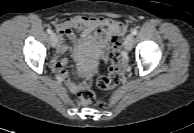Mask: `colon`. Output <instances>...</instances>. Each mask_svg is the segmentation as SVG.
I'll return each mask as SVG.
<instances>
[{
    "label": "colon",
    "instance_id": "obj_1",
    "mask_svg": "<svg viewBox=\"0 0 194 133\" xmlns=\"http://www.w3.org/2000/svg\"><path fill=\"white\" fill-rule=\"evenodd\" d=\"M112 50L108 55V60L110 61L109 73L107 76L97 75L96 84L102 90H110L116 87L123 76V54L121 51L122 38L121 36H114L111 39ZM94 101L93 91L85 87L79 92L78 102L80 105L86 106ZM102 106V102L97 103Z\"/></svg>",
    "mask_w": 194,
    "mask_h": 133
}]
</instances>
